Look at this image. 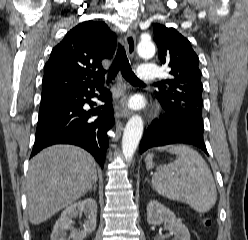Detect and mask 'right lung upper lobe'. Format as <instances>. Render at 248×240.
Here are the masks:
<instances>
[{"instance_id":"right-lung-upper-lobe-1","label":"right lung upper lobe","mask_w":248,"mask_h":240,"mask_svg":"<svg viewBox=\"0 0 248 240\" xmlns=\"http://www.w3.org/2000/svg\"><path fill=\"white\" fill-rule=\"evenodd\" d=\"M116 44L104 22L85 21L71 29L45 64L41 98L104 83L101 61L112 57Z\"/></svg>"}]
</instances>
